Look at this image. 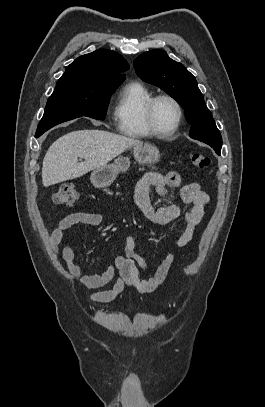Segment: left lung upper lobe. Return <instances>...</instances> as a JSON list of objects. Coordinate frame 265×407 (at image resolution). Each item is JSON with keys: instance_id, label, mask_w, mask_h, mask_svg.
<instances>
[{"instance_id": "5c2ea615", "label": "left lung upper lobe", "mask_w": 265, "mask_h": 407, "mask_svg": "<svg viewBox=\"0 0 265 407\" xmlns=\"http://www.w3.org/2000/svg\"><path fill=\"white\" fill-rule=\"evenodd\" d=\"M137 74L145 81L160 87L185 110L191 125L189 136L208 145L222 147L221 134L207 108L195 77L163 50H151L134 60Z\"/></svg>"}]
</instances>
